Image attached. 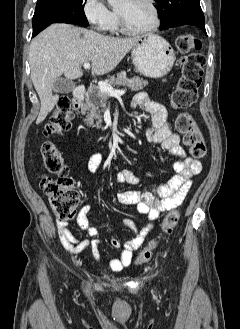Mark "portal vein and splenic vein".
Here are the masks:
<instances>
[{
  "label": "portal vein and splenic vein",
  "mask_w": 240,
  "mask_h": 329,
  "mask_svg": "<svg viewBox=\"0 0 240 329\" xmlns=\"http://www.w3.org/2000/svg\"><path fill=\"white\" fill-rule=\"evenodd\" d=\"M83 67L85 69H89L90 68V63L85 62L83 64ZM98 87H99L101 92H103L104 94H106L108 96H117V95H122V94L125 93V90H116L109 83L104 82V81H99L98 82Z\"/></svg>",
  "instance_id": "portal-vein-and-splenic-vein-1"
}]
</instances>
